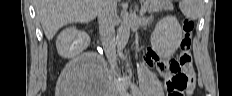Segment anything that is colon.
<instances>
[{"label":"colon","mask_w":232,"mask_h":96,"mask_svg":"<svg viewBox=\"0 0 232 96\" xmlns=\"http://www.w3.org/2000/svg\"><path fill=\"white\" fill-rule=\"evenodd\" d=\"M194 24L191 20L183 22V37L180 44V53L177 58L170 59L164 63H170V68H163L166 79V90L169 96H183L184 91H190V79L185 69L191 65L192 31Z\"/></svg>","instance_id":"colon-1"}]
</instances>
